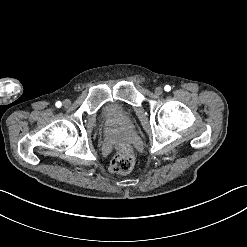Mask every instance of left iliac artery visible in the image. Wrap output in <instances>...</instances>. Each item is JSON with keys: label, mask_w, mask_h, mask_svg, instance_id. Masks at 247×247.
<instances>
[{"label": "left iliac artery", "mask_w": 247, "mask_h": 247, "mask_svg": "<svg viewBox=\"0 0 247 247\" xmlns=\"http://www.w3.org/2000/svg\"><path fill=\"white\" fill-rule=\"evenodd\" d=\"M164 90L167 91V92H169V91L171 90V87H170L169 85H166V86L164 87Z\"/></svg>", "instance_id": "44dca946"}]
</instances>
